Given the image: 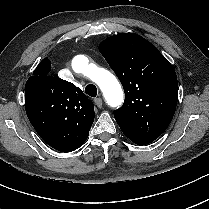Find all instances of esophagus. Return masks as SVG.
<instances>
[{
	"mask_svg": "<svg viewBox=\"0 0 209 209\" xmlns=\"http://www.w3.org/2000/svg\"><path fill=\"white\" fill-rule=\"evenodd\" d=\"M94 103L98 108H102L103 102L101 98H95Z\"/></svg>",
	"mask_w": 209,
	"mask_h": 209,
	"instance_id": "1",
	"label": "esophagus"
}]
</instances>
